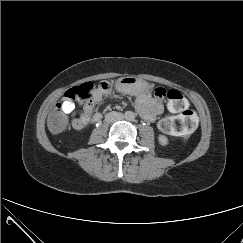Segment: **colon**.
<instances>
[{
	"label": "colon",
	"mask_w": 243,
	"mask_h": 243,
	"mask_svg": "<svg viewBox=\"0 0 243 243\" xmlns=\"http://www.w3.org/2000/svg\"><path fill=\"white\" fill-rule=\"evenodd\" d=\"M98 88L103 91L110 90L108 82H101ZM94 85L91 82H85L78 86L70 88L65 93V99L76 102H91L93 100ZM157 98L168 99V108L171 112L177 113L172 117L163 118L159 122V129L169 135L186 137L190 135L197 126V117L193 110L189 108L186 98L177 90H166L158 87L155 90ZM86 116L79 117L76 121V127H83ZM67 123V117L62 109V103L56 105L55 111L48 117V127L52 133L61 132Z\"/></svg>",
	"instance_id": "5ec220e1"
}]
</instances>
